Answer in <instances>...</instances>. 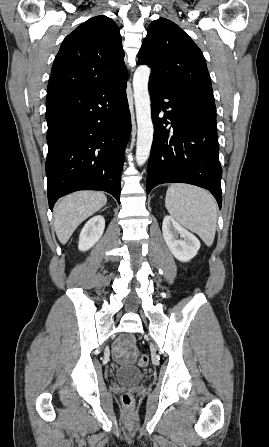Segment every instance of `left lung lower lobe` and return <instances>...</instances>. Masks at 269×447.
Masks as SVG:
<instances>
[{
    "mask_svg": "<svg viewBox=\"0 0 269 447\" xmlns=\"http://www.w3.org/2000/svg\"><path fill=\"white\" fill-rule=\"evenodd\" d=\"M149 93L154 138L147 167V193L162 183L193 184L208 189L221 208L216 117L198 113L183 97L151 82ZM161 110L165 114L158 118Z\"/></svg>",
    "mask_w": 269,
    "mask_h": 447,
    "instance_id": "left-lung-lower-lobe-1",
    "label": "left lung lower lobe"
}]
</instances>
